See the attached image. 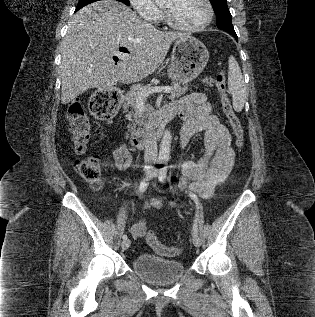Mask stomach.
I'll list each match as a JSON object with an SVG mask.
<instances>
[{
    "label": "stomach",
    "instance_id": "stomach-1",
    "mask_svg": "<svg viewBox=\"0 0 315 317\" xmlns=\"http://www.w3.org/2000/svg\"><path fill=\"white\" fill-rule=\"evenodd\" d=\"M209 59L206 46L194 37L175 41L171 53L168 76L178 83L195 79L205 68Z\"/></svg>",
    "mask_w": 315,
    "mask_h": 317
}]
</instances>
